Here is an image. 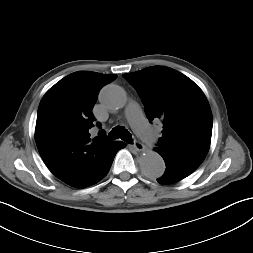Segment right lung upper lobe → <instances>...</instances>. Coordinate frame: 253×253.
Instances as JSON below:
<instances>
[{"label": "right lung upper lobe", "instance_id": "1", "mask_svg": "<svg viewBox=\"0 0 253 253\" xmlns=\"http://www.w3.org/2000/svg\"><path fill=\"white\" fill-rule=\"evenodd\" d=\"M116 78L78 71L57 82L40 102L35 129L39 153L49 170L68 185L85 188L102 175L104 152L112 142L106 141L104 130L90 138L92 109L100 89Z\"/></svg>", "mask_w": 253, "mask_h": 253}]
</instances>
